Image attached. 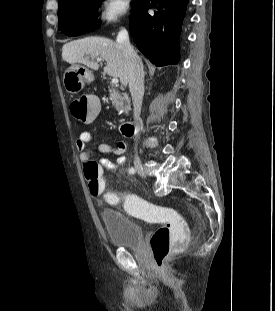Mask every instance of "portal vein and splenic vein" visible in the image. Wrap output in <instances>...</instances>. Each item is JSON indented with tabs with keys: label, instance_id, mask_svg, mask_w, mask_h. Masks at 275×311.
Segmentation results:
<instances>
[{
	"label": "portal vein and splenic vein",
	"instance_id": "portal-vein-and-splenic-vein-1",
	"mask_svg": "<svg viewBox=\"0 0 275 311\" xmlns=\"http://www.w3.org/2000/svg\"><path fill=\"white\" fill-rule=\"evenodd\" d=\"M102 59L101 58H97V61H101ZM118 78L117 77H113L112 78V80H111V83H112V85H116V84H118Z\"/></svg>",
	"mask_w": 275,
	"mask_h": 311
}]
</instances>
